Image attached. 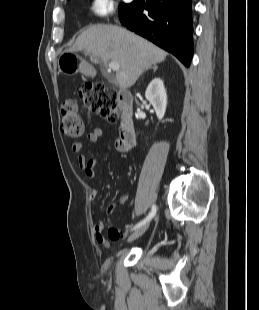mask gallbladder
Wrapping results in <instances>:
<instances>
[{
	"mask_svg": "<svg viewBox=\"0 0 259 310\" xmlns=\"http://www.w3.org/2000/svg\"><path fill=\"white\" fill-rule=\"evenodd\" d=\"M104 77H105L108 81H113V77H111L110 75L104 74Z\"/></svg>",
	"mask_w": 259,
	"mask_h": 310,
	"instance_id": "gallbladder-1",
	"label": "gallbladder"
}]
</instances>
